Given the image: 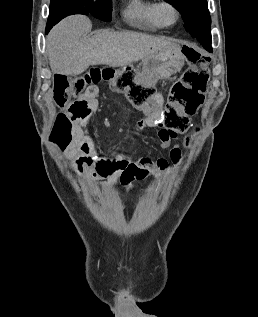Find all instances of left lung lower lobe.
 I'll use <instances>...</instances> for the list:
<instances>
[{"label":"left lung lower lobe","instance_id":"0a47b994","mask_svg":"<svg viewBox=\"0 0 258 317\" xmlns=\"http://www.w3.org/2000/svg\"><path fill=\"white\" fill-rule=\"evenodd\" d=\"M193 37L197 38V40L203 45V47L212 52L211 48V32L210 33H198L195 34Z\"/></svg>","mask_w":258,"mask_h":317}]
</instances>
